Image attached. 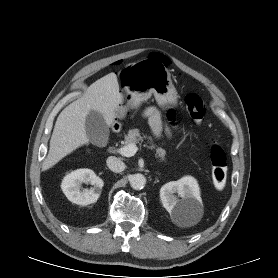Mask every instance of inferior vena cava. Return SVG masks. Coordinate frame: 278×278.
Here are the masks:
<instances>
[{
  "label": "inferior vena cava",
  "mask_w": 278,
  "mask_h": 278,
  "mask_svg": "<svg viewBox=\"0 0 278 278\" xmlns=\"http://www.w3.org/2000/svg\"><path fill=\"white\" fill-rule=\"evenodd\" d=\"M106 162L108 168L113 172L119 173L125 169L124 162L114 156L108 157Z\"/></svg>",
  "instance_id": "602c4592"
}]
</instances>
